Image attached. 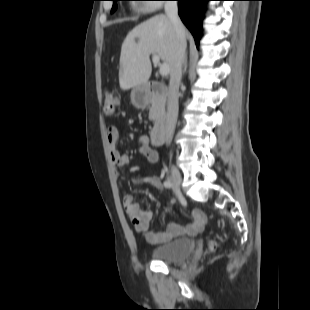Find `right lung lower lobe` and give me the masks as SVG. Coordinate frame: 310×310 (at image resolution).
<instances>
[{"label":"right lung lower lobe","mask_w":310,"mask_h":310,"mask_svg":"<svg viewBox=\"0 0 310 310\" xmlns=\"http://www.w3.org/2000/svg\"><path fill=\"white\" fill-rule=\"evenodd\" d=\"M178 1V13L194 36L196 45H199L202 32V20L206 9V3L210 0H177Z\"/></svg>","instance_id":"obj_1"}]
</instances>
